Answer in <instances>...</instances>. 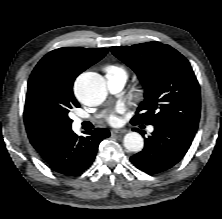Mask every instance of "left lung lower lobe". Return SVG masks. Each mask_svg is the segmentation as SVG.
I'll return each mask as SVG.
<instances>
[{
	"mask_svg": "<svg viewBox=\"0 0 222 219\" xmlns=\"http://www.w3.org/2000/svg\"><path fill=\"white\" fill-rule=\"evenodd\" d=\"M195 132L172 123L154 125L151 136L145 138L144 149L130 158L146 173L156 174L177 164L188 151Z\"/></svg>",
	"mask_w": 222,
	"mask_h": 219,
	"instance_id": "obj_1",
	"label": "left lung lower lobe"
}]
</instances>
